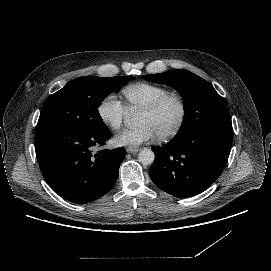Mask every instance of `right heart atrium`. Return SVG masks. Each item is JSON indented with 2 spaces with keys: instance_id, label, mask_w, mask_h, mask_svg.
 Segmentation results:
<instances>
[{
  "instance_id": "right-heart-atrium-1",
  "label": "right heart atrium",
  "mask_w": 271,
  "mask_h": 271,
  "mask_svg": "<svg viewBox=\"0 0 271 271\" xmlns=\"http://www.w3.org/2000/svg\"><path fill=\"white\" fill-rule=\"evenodd\" d=\"M127 110L114 92L107 94L97 106V115L101 122L112 131L122 128Z\"/></svg>"
}]
</instances>
